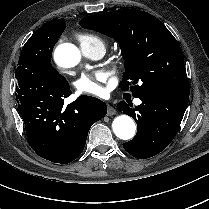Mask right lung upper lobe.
<instances>
[{
    "label": "right lung upper lobe",
    "instance_id": "1",
    "mask_svg": "<svg viewBox=\"0 0 209 209\" xmlns=\"http://www.w3.org/2000/svg\"><path fill=\"white\" fill-rule=\"evenodd\" d=\"M54 21H55V20H54ZM51 22H53V21H50V22L45 23V24H44V27H46L47 25H49Z\"/></svg>",
    "mask_w": 209,
    "mask_h": 209
}]
</instances>
